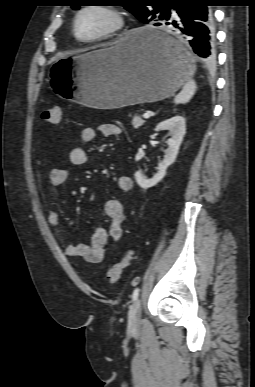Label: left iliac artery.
<instances>
[{"label":"left iliac artery","instance_id":"1","mask_svg":"<svg viewBox=\"0 0 255 387\" xmlns=\"http://www.w3.org/2000/svg\"><path fill=\"white\" fill-rule=\"evenodd\" d=\"M138 295H139V288H135L132 294V299L136 300L138 298Z\"/></svg>","mask_w":255,"mask_h":387}]
</instances>
